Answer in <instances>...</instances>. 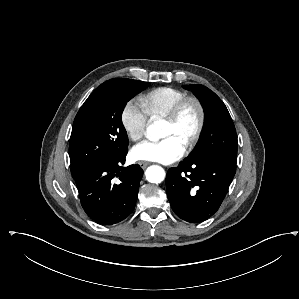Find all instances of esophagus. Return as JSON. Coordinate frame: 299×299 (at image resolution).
<instances>
[{"label":"esophagus","instance_id":"esophagus-1","mask_svg":"<svg viewBox=\"0 0 299 299\" xmlns=\"http://www.w3.org/2000/svg\"><path fill=\"white\" fill-rule=\"evenodd\" d=\"M138 164L140 165V167L142 169H145L150 163L147 161H140V162H138Z\"/></svg>","mask_w":299,"mask_h":299}]
</instances>
